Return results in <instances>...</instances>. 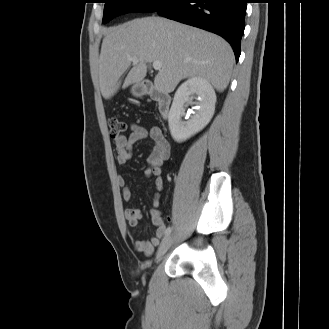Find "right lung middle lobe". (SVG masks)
Masks as SVG:
<instances>
[{"label": "right lung middle lobe", "mask_w": 329, "mask_h": 329, "mask_svg": "<svg viewBox=\"0 0 329 329\" xmlns=\"http://www.w3.org/2000/svg\"><path fill=\"white\" fill-rule=\"evenodd\" d=\"M171 0H104L103 23L126 13H149L163 8Z\"/></svg>", "instance_id": "dd1d6c3e"}]
</instances>
